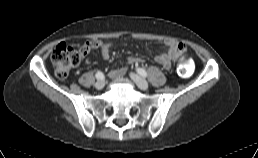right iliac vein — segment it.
<instances>
[{
  "mask_svg": "<svg viewBox=\"0 0 258 158\" xmlns=\"http://www.w3.org/2000/svg\"><path fill=\"white\" fill-rule=\"evenodd\" d=\"M105 83L103 80H98L96 83H95V88L98 89V90H101L103 87H104Z\"/></svg>",
  "mask_w": 258,
  "mask_h": 158,
  "instance_id": "1",
  "label": "right iliac vein"
}]
</instances>
